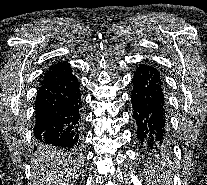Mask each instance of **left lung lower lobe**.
Masks as SVG:
<instances>
[{"label":"left lung lower lobe","mask_w":207,"mask_h":185,"mask_svg":"<svg viewBox=\"0 0 207 185\" xmlns=\"http://www.w3.org/2000/svg\"><path fill=\"white\" fill-rule=\"evenodd\" d=\"M133 117L138 125L137 139L148 163L168 151L166 102L163 82L156 68L139 65L133 76Z\"/></svg>","instance_id":"1"}]
</instances>
